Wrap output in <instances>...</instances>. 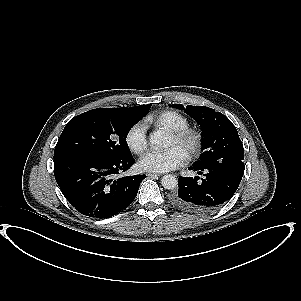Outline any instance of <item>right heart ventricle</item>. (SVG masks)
Listing matches in <instances>:
<instances>
[{
  "instance_id": "obj_1",
  "label": "right heart ventricle",
  "mask_w": 301,
  "mask_h": 301,
  "mask_svg": "<svg viewBox=\"0 0 301 301\" xmlns=\"http://www.w3.org/2000/svg\"><path fill=\"white\" fill-rule=\"evenodd\" d=\"M157 126L160 129H173L180 130L186 127V120H184L180 115L176 114H167L162 116L157 121Z\"/></svg>"
}]
</instances>
